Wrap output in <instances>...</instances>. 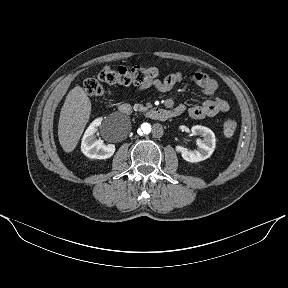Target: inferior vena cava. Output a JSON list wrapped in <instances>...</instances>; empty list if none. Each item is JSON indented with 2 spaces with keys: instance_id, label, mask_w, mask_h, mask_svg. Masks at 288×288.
Wrapping results in <instances>:
<instances>
[{
  "instance_id": "1",
  "label": "inferior vena cava",
  "mask_w": 288,
  "mask_h": 288,
  "mask_svg": "<svg viewBox=\"0 0 288 288\" xmlns=\"http://www.w3.org/2000/svg\"><path fill=\"white\" fill-rule=\"evenodd\" d=\"M152 127H153L151 132L152 137L155 139L161 138V136L163 135V127L160 124V122L158 121L153 122Z\"/></svg>"
}]
</instances>
